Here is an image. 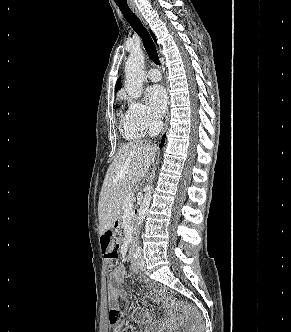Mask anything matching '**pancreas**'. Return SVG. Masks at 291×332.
Listing matches in <instances>:
<instances>
[{"label": "pancreas", "mask_w": 291, "mask_h": 332, "mask_svg": "<svg viewBox=\"0 0 291 332\" xmlns=\"http://www.w3.org/2000/svg\"><path fill=\"white\" fill-rule=\"evenodd\" d=\"M128 194H129V193H126V194L122 197V200H121V214H123L124 211H125L126 206H125V204H124V201H125V198H126V196H127Z\"/></svg>", "instance_id": "pancreas-1"}]
</instances>
